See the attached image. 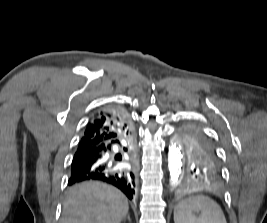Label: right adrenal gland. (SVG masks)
Instances as JSON below:
<instances>
[{"mask_svg": "<svg viewBox=\"0 0 267 223\" xmlns=\"http://www.w3.org/2000/svg\"><path fill=\"white\" fill-rule=\"evenodd\" d=\"M126 218L128 219L129 222H131V219H130V215L127 214V216L124 218V220H126Z\"/></svg>", "mask_w": 267, "mask_h": 223, "instance_id": "obj_1", "label": "right adrenal gland"}]
</instances>
